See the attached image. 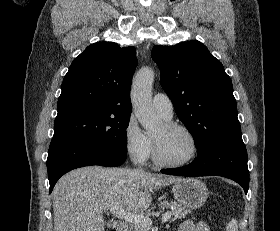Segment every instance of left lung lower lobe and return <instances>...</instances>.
Instances as JSON below:
<instances>
[{"instance_id":"0a47b994","label":"left lung lower lobe","mask_w":280,"mask_h":231,"mask_svg":"<svg viewBox=\"0 0 280 231\" xmlns=\"http://www.w3.org/2000/svg\"><path fill=\"white\" fill-rule=\"evenodd\" d=\"M161 172L188 177L222 176L240 184L246 194L249 188L247 151L241 135L221 138L204 145L191 164L181 168L164 169Z\"/></svg>"}]
</instances>
